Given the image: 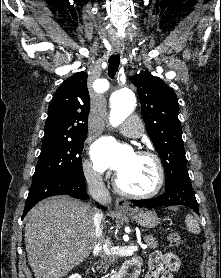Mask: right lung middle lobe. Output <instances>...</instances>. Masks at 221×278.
Returning a JSON list of instances; mask_svg holds the SVG:
<instances>
[{
	"instance_id": "obj_1",
	"label": "right lung middle lobe",
	"mask_w": 221,
	"mask_h": 278,
	"mask_svg": "<svg viewBox=\"0 0 221 278\" xmlns=\"http://www.w3.org/2000/svg\"><path fill=\"white\" fill-rule=\"evenodd\" d=\"M85 138L79 135L42 143L31 187L58 176L83 178L81 153Z\"/></svg>"
}]
</instances>
